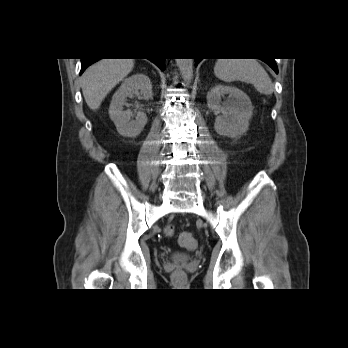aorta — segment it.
Wrapping results in <instances>:
<instances>
[{
  "instance_id": "1",
  "label": "aorta",
  "mask_w": 348,
  "mask_h": 348,
  "mask_svg": "<svg viewBox=\"0 0 348 348\" xmlns=\"http://www.w3.org/2000/svg\"><path fill=\"white\" fill-rule=\"evenodd\" d=\"M177 66L185 82H190L193 78V59H176Z\"/></svg>"
}]
</instances>
